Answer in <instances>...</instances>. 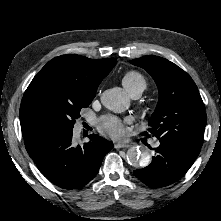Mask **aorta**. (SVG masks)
Returning a JSON list of instances; mask_svg holds the SVG:
<instances>
[{"label":"aorta","instance_id":"aorta-1","mask_svg":"<svg viewBox=\"0 0 221 221\" xmlns=\"http://www.w3.org/2000/svg\"><path fill=\"white\" fill-rule=\"evenodd\" d=\"M102 104L109 110L121 113L125 111L130 100L121 88H112L105 90L101 95ZM127 162L135 168H144L151 162L150 152L141 147L132 146L126 154Z\"/></svg>","mask_w":221,"mask_h":221}]
</instances>
